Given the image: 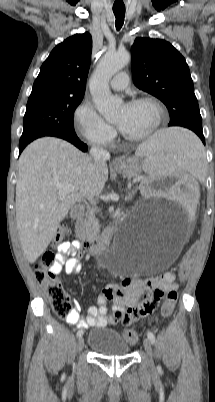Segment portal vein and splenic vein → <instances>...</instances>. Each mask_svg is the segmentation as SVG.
Returning a JSON list of instances; mask_svg holds the SVG:
<instances>
[{
    "label": "portal vein and splenic vein",
    "mask_w": 215,
    "mask_h": 402,
    "mask_svg": "<svg viewBox=\"0 0 215 402\" xmlns=\"http://www.w3.org/2000/svg\"><path fill=\"white\" fill-rule=\"evenodd\" d=\"M57 187L59 189V197L60 198L64 197L66 194L76 190V187L71 184H59Z\"/></svg>",
    "instance_id": "obj_1"
}]
</instances>
